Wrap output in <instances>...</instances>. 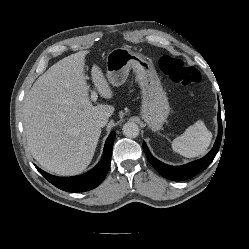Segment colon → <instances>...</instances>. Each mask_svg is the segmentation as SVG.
<instances>
[{
    "mask_svg": "<svg viewBox=\"0 0 249 249\" xmlns=\"http://www.w3.org/2000/svg\"><path fill=\"white\" fill-rule=\"evenodd\" d=\"M161 71L174 83L189 86L200 81V73L193 67H189L183 60L170 56H163L159 61Z\"/></svg>",
    "mask_w": 249,
    "mask_h": 249,
    "instance_id": "colon-1",
    "label": "colon"
}]
</instances>
